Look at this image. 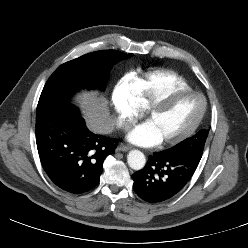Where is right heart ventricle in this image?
Listing matches in <instances>:
<instances>
[{
    "label": "right heart ventricle",
    "instance_id": "right-heart-ventricle-1",
    "mask_svg": "<svg viewBox=\"0 0 248 248\" xmlns=\"http://www.w3.org/2000/svg\"><path fill=\"white\" fill-rule=\"evenodd\" d=\"M124 83L135 94L143 109L172 90L192 89L183 77L170 70L148 72L142 76L133 75Z\"/></svg>",
    "mask_w": 248,
    "mask_h": 248
}]
</instances>
